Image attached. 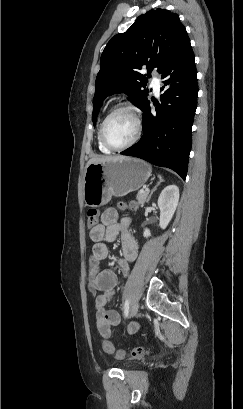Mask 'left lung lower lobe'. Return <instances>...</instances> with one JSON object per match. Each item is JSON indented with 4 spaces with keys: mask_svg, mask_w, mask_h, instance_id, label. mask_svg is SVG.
Segmentation results:
<instances>
[{
    "mask_svg": "<svg viewBox=\"0 0 243 409\" xmlns=\"http://www.w3.org/2000/svg\"><path fill=\"white\" fill-rule=\"evenodd\" d=\"M164 93L161 104L151 111L150 101L143 106L144 134L138 143L121 152L154 165L187 175L192 145V125L197 107V71L188 40L161 73Z\"/></svg>",
    "mask_w": 243,
    "mask_h": 409,
    "instance_id": "1",
    "label": "left lung lower lobe"
}]
</instances>
